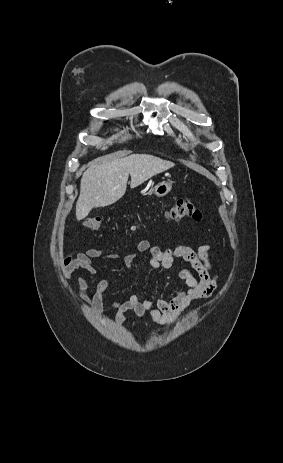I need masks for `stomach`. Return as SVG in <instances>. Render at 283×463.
I'll list each match as a JSON object with an SVG mask.
<instances>
[{"label":"stomach","mask_w":283,"mask_h":463,"mask_svg":"<svg viewBox=\"0 0 283 463\" xmlns=\"http://www.w3.org/2000/svg\"><path fill=\"white\" fill-rule=\"evenodd\" d=\"M171 189H172V183L163 181L154 186L153 193L157 197H164L171 191Z\"/></svg>","instance_id":"obj_1"}]
</instances>
